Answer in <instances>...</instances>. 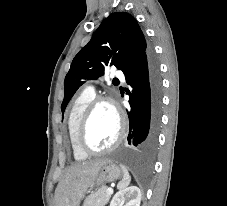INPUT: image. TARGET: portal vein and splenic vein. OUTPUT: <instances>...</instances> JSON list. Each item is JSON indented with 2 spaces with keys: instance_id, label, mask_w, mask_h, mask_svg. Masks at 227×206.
I'll return each mask as SVG.
<instances>
[{
  "instance_id": "18ae733b",
  "label": "portal vein and splenic vein",
  "mask_w": 227,
  "mask_h": 206,
  "mask_svg": "<svg viewBox=\"0 0 227 206\" xmlns=\"http://www.w3.org/2000/svg\"><path fill=\"white\" fill-rule=\"evenodd\" d=\"M107 193H108L109 195H111V194L113 193V189H112V188H109V189L107 190Z\"/></svg>"
}]
</instances>
